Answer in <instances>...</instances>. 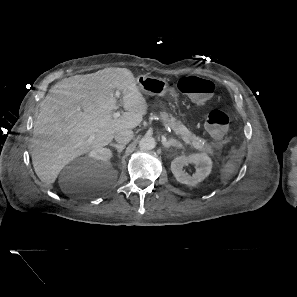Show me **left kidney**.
Listing matches in <instances>:
<instances>
[{
  "label": "left kidney",
  "instance_id": "1",
  "mask_svg": "<svg viewBox=\"0 0 297 297\" xmlns=\"http://www.w3.org/2000/svg\"><path fill=\"white\" fill-rule=\"evenodd\" d=\"M189 163L196 166L193 176L184 171V167ZM211 169L212 160L206 153L179 156L171 162V171L176 180L188 186H195L203 181L211 173Z\"/></svg>",
  "mask_w": 297,
  "mask_h": 297
}]
</instances>
